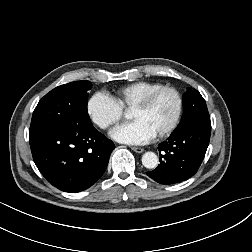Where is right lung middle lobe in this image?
I'll return each instance as SVG.
<instances>
[{
  "label": "right lung middle lobe",
  "instance_id": "dd1d6c3e",
  "mask_svg": "<svg viewBox=\"0 0 252 252\" xmlns=\"http://www.w3.org/2000/svg\"><path fill=\"white\" fill-rule=\"evenodd\" d=\"M90 81H74L56 87L36 106L30 128L62 123L92 126L87 111Z\"/></svg>",
  "mask_w": 252,
  "mask_h": 252
}]
</instances>
